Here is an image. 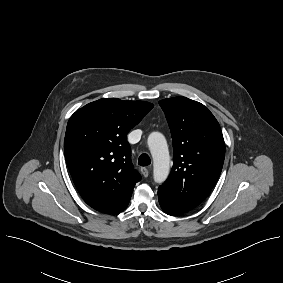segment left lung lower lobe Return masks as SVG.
Returning <instances> with one entry per match:
<instances>
[{"label":"left lung lower lobe","mask_w":283,"mask_h":283,"mask_svg":"<svg viewBox=\"0 0 283 283\" xmlns=\"http://www.w3.org/2000/svg\"><path fill=\"white\" fill-rule=\"evenodd\" d=\"M158 199L163 211L171 216H179L185 211L179 209L171 200L170 196L161 189H158Z\"/></svg>","instance_id":"obj_1"}]
</instances>
